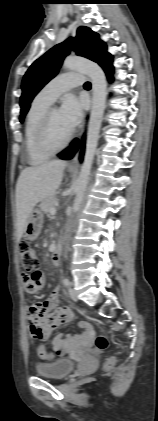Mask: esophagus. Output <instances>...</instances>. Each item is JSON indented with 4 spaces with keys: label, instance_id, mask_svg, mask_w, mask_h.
I'll return each mask as SVG.
<instances>
[{
    "label": "esophagus",
    "instance_id": "1",
    "mask_svg": "<svg viewBox=\"0 0 158 421\" xmlns=\"http://www.w3.org/2000/svg\"><path fill=\"white\" fill-rule=\"evenodd\" d=\"M80 149L76 152V154L74 155V157L70 160V162L68 164L69 167L76 168L78 166Z\"/></svg>",
    "mask_w": 158,
    "mask_h": 421
}]
</instances>
